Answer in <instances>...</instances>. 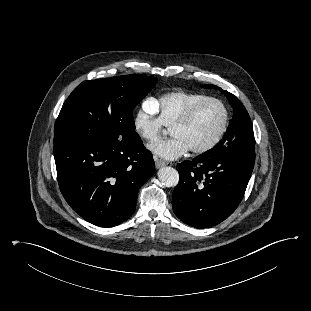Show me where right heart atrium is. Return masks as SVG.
Segmentation results:
<instances>
[{"instance_id":"obj_1","label":"right heart atrium","mask_w":311,"mask_h":311,"mask_svg":"<svg viewBox=\"0 0 311 311\" xmlns=\"http://www.w3.org/2000/svg\"><path fill=\"white\" fill-rule=\"evenodd\" d=\"M132 125L135 133L146 143H152L157 140L164 124L162 123L155 101L146 100L133 116Z\"/></svg>"}]
</instances>
